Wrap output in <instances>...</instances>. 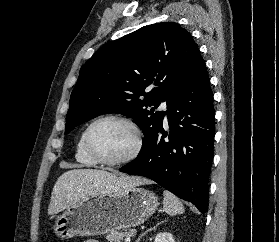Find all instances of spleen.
Returning a JSON list of instances; mask_svg holds the SVG:
<instances>
[{"label": "spleen", "mask_w": 279, "mask_h": 242, "mask_svg": "<svg viewBox=\"0 0 279 242\" xmlns=\"http://www.w3.org/2000/svg\"><path fill=\"white\" fill-rule=\"evenodd\" d=\"M163 211L169 215H176L184 212V206L181 201L171 192L163 191Z\"/></svg>", "instance_id": "3e777b00"}]
</instances>
